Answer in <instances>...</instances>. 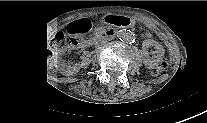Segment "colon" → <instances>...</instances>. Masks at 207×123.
I'll return each mask as SVG.
<instances>
[{
	"mask_svg": "<svg viewBox=\"0 0 207 123\" xmlns=\"http://www.w3.org/2000/svg\"><path fill=\"white\" fill-rule=\"evenodd\" d=\"M170 66L168 59H163L155 68L151 70L153 76H161L164 74Z\"/></svg>",
	"mask_w": 207,
	"mask_h": 123,
	"instance_id": "obj_1",
	"label": "colon"
}]
</instances>
